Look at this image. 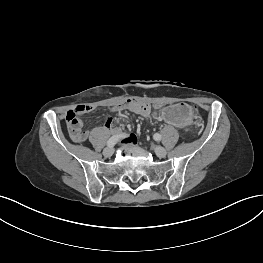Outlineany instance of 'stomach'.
<instances>
[{
	"label": "stomach",
	"mask_w": 263,
	"mask_h": 263,
	"mask_svg": "<svg viewBox=\"0 0 263 263\" xmlns=\"http://www.w3.org/2000/svg\"><path fill=\"white\" fill-rule=\"evenodd\" d=\"M158 118L164 124H171L176 130L195 133L201 127L200 118L184 102H170L158 111Z\"/></svg>",
	"instance_id": "stomach-1"
}]
</instances>
